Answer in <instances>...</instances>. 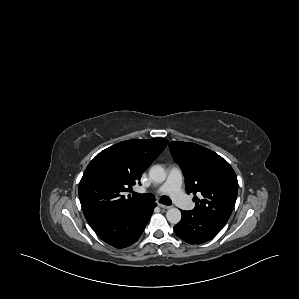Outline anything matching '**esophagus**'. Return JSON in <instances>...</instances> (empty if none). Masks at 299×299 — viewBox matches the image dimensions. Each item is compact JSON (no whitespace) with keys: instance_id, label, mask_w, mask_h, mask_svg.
I'll list each match as a JSON object with an SVG mask.
<instances>
[{"instance_id":"esophagus-1","label":"esophagus","mask_w":299,"mask_h":299,"mask_svg":"<svg viewBox=\"0 0 299 299\" xmlns=\"http://www.w3.org/2000/svg\"><path fill=\"white\" fill-rule=\"evenodd\" d=\"M158 206L162 209H169L171 208V206H168V205H164V204H161V203H158Z\"/></svg>"}]
</instances>
